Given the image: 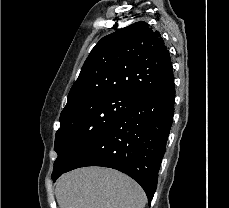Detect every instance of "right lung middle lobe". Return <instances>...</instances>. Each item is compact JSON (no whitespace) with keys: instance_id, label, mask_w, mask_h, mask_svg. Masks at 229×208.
<instances>
[{"instance_id":"1","label":"right lung middle lobe","mask_w":229,"mask_h":208,"mask_svg":"<svg viewBox=\"0 0 229 208\" xmlns=\"http://www.w3.org/2000/svg\"><path fill=\"white\" fill-rule=\"evenodd\" d=\"M136 102L129 96L106 95L81 103L61 116V127L55 135L54 149L58 157L52 178L59 177L88 142L110 127Z\"/></svg>"}]
</instances>
